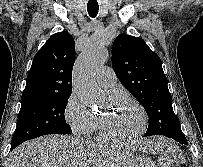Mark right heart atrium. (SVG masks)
Here are the masks:
<instances>
[{"label":"right heart atrium","mask_w":203,"mask_h":167,"mask_svg":"<svg viewBox=\"0 0 203 167\" xmlns=\"http://www.w3.org/2000/svg\"><path fill=\"white\" fill-rule=\"evenodd\" d=\"M64 117L77 135H89L97 128L96 117L75 92H72L66 101Z\"/></svg>","instance_id":"1"}]
</instances>
